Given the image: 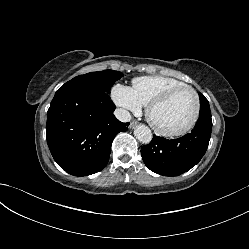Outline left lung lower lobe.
<instances>
[{"label":"left lung lower lobe","instance_id":"left-lung-lower-lobe-1","mask_svg":"<svg viewBox=\"0 0 249 249\" xmlns=\"http://www.w3.org/2000/svg\"><path fill=\"white\" fill-rule=\"evenodd\" d=\"M211 129V115H200L194 129L181 138L168 140L153 135L152 141L141 148L142 159L157 174L178 176L201 160L209 144Z\"/></svg>","mask_w":249,"mask_h":249}]
</instances>
